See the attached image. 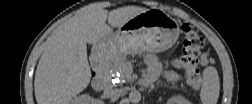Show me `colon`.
<instances>
[{"label": "colon", "instance_id": "1", "mask_svg": "<svg viewBox=\"0 0 252 104\" xmlns=\"http://www.w3.org/2000/svg\"><path fill=\"white\" fill-rule=\"evenodd\" d=\"M182 35L183 55L181 61L186 72V79L190 86L198 89L202 84V76L197 66L199 63L208 64L211 59L207 55H201L204 41L192 26L183 25Z\"/></svg>", "mask_w": 252, "mask_h": 104}]
</instances>
